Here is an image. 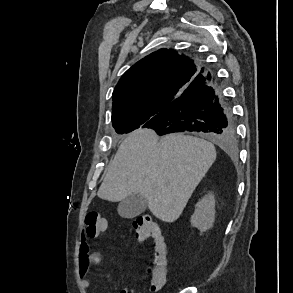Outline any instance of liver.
Instances as JSON below:
<instances>
[{
	"label": "liver",
	"instance_id": "obj_1",
	"mask_svg": "<svg viewBox=\"0 0 293 293\" xmlns=\"http://www.w3.org/2000/svg\"><path fill=\"white\" fill-rule=\"evenodd\" d=\"M215 159L214 145L204 139L181 133L159 139L154 130L140 128L119 146L98 197L119 202L139 193L153 215L174 222Z\"/></svg>",
	"mask_w": 293,
	"mask_h": 293
}]
</instances>
